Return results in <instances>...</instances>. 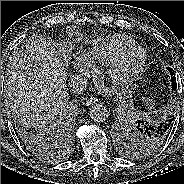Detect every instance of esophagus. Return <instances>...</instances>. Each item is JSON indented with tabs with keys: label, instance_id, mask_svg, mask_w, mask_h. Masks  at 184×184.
<instances>
[{
	"label": "esophagus",
	"instance_id": "obj_1",
	"mask_svg": "<svg viewBox=\"0 0 184 184\" xmlns=\"http://www.w3.org/2000/svg\"><path fill=\"white\" fill-rule=\"evenodd\" d=\"M97 102H98V99H97V98L91 97L90 99H88V100L86 101V105H87V106H91V105L96 104Z\"/></svg>",
	"mask_w": 184,
	"mask_h": 184
}]
</instances>
